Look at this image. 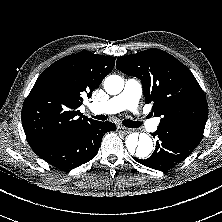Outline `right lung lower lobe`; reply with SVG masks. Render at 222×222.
<instances>
[{
  "label": "right lung lower lobe",
  "instance_id": "right-lung-lower-lobe-1",
  "mask_svg": "<svg viewBox=\"0 0 222 222\" xmlns=\"http://www.w3.org/2000/svg\"><path fill=\"white\" fill-rule=\"evenodd\" d=\"M111 130H116L114 123L92 121L69 134L47 137L29 144L49 164L71 170L93 159L103 135Z\"/></svg>",
  "mask_w": 222,
  "mask_h": 222
}]
</instances>
